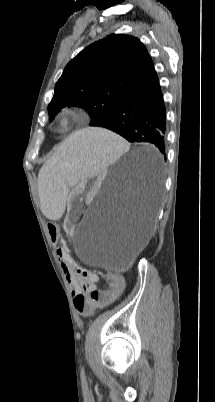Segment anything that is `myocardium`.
<instances>
[{
	"label": "myocardium",
	"instance_id": "obj_1",
	"mask_svg": "<svg viewBox=\"0 0 215 402\" xmlns=\"http://www.w3.org/2000/svg\"><path fill=\"white\" fill-rule=\"evenodd\" d=\"M78 114L72 109L61 110L55 118L54 125L59 133L69 132L77 120Z\"/></svg>",
	"mask_w": 215,
	"mask_h": 402
}]
</instances>
